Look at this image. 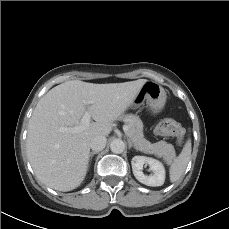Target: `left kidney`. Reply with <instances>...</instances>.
<instances>
[{"mask_svg": "<svg viewBox=\"0 0 229 229\" xmlns=\"http://www.w3.org/2000/svg\"><path fill=\"white\" fill-rule=\"evenodd\" d=\"M135 178L147 186H161L165 181V168L163 164L153 158L145 156H134L131 161ZM149 165L153 174L147 176L143 173V166Z\"/></svg>", "mask_w": 229, "mask_h": 229, "instance_id": "left-kidney-1", "label": "left kidney"}]
</instances>
